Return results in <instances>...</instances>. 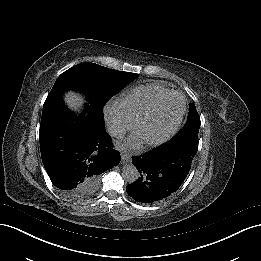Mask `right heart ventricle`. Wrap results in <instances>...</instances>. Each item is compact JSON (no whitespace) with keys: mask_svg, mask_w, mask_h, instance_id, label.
<instances>
[{"mask_svg":"<svg viewBox=\"0 0 261 261\" xmlns=\"http://www.w3.org/2000/svg\"><path fill=\"white\" fill-rule=\"evenodd\" d=\"M174 91L161 84L150 83L138 86L116 101V107L129 120L153 110Z\"/></svg>","mask_w":261,"mask_h":261,"instance_id":"e07e8e85","label":"right heart ventricle"}]
</instances>
